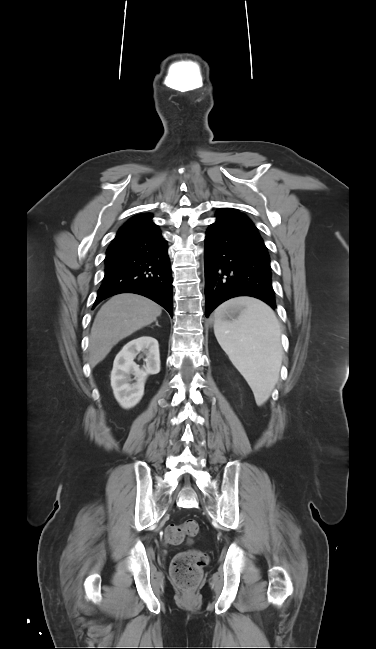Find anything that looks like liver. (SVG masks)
I'll return each instance as SVG.
<instances>
[{"mask_svg":"<svg viewBox=\"0 0 376 649\" xmlns=\"http://www.w3.org/2000/svg\"><path fill=\"white\" fill-rule=\"evenodd\" d=\"M161 307L141 295L123 293L110 298L98 311L91 328L89 352L95 367L122 339L154 322Z\"/></svg>","mask_w":376,"mask_h":649,"instance_id":"obj_1","label":"liver"}]
</instances>
